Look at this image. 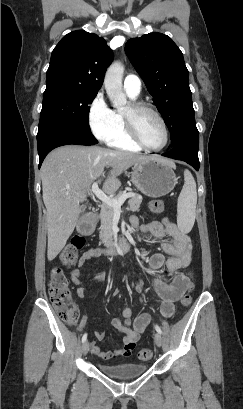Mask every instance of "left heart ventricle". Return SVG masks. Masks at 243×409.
<instances>
[{"label": "left heart ventricle", "instance_id": "left-heart-ventricle-1", "mask_svg": "<svg viewBox=\"0 0 243 409\" xmlns=\"http://www.w3.org/2000/svg\"><path fill=\"white\" fill-rule=\"evenodd\" d=\"M128 112V105L123 109ZM135 124L142 140L151 147H159L164 142L163 128L158 119L148 111L136 114Z\"/></svg>", "mask_w": 243, "mask_h": 409}]
</instances>
